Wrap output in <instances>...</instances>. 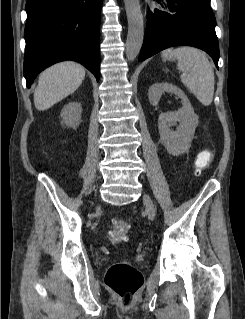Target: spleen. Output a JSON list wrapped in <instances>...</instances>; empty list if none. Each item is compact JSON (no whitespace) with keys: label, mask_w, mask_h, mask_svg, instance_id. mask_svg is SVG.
<instances>
[{"label":"spleen","mask_w":245,"mask_h":319,"mask_svg":"<svg viewBox=\"0 0 245 319\" xmlns=\"http://www.w3.org/2000/svg\"><path fill=\"white\" fill-rule=\"evenodd\" d=\"M171 57L178 59L182 83L204 105L209 106L214 95V71L206 54L200 49L183 46L174 49Z\"/></svg>","instance_id":"obj_1"}]
</instances>
